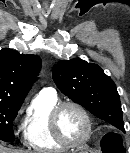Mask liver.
Here are the masks:
<instances>
[{
	"instance_id": "1",
	"label": "liver",
	"mask_w": 130,
	"mask_h": 153,
	"mask_svg": "<svg viewBox=\"0 0 130 153\" xmlns=\"http://www.w3.org/2000/svg\"><path fill=\"white\" fill-rule=\"evenodd\" d=\"M0 153H26V152L19 151V150H11V149L5 148L4 146L0 144Z\"/></svg>"
}]
</instances>
